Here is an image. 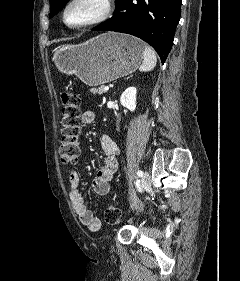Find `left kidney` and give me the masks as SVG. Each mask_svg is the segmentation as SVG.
I'll return each instance as SVG.
<instances>
[{"instance_id":"1","label":"left kidney","mask_w":240,"mask_h":281,"mask_svg":"<svg viewBox=\"0 0 240 281\" xmlns=\"http://www.w3.org/2000/svg\"><path fill=\"white\" fill-rule=\"evenodd\" d=\"M136 94L137 89L135 87L127 88L120 97L121 105L129 109L130 111H135L136 109Z\"/></svg>"}]
</instances>
